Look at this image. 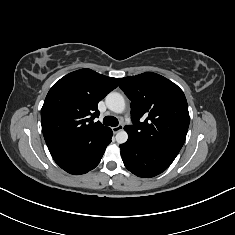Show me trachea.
<instances>
[{"label": "trachea", "mask_w": 235, "mask_h": 235, "mask_svg": "<svg viewBox=\"0 0 235 235\" xmlns=\"http://www.w3.org/2000/svg\"><path fill=\"white\" fill-rule=\"evenodd\" d=\"M103 124L106 126L116 127L118 125V119L114 116H106L103 119Z\"/></svg>", "instance_id": "trachea-1"}]
</instances>
